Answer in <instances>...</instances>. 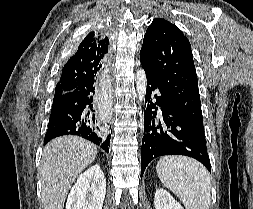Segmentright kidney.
Wrapping results in <instances>:
<instances>
[{"label":"right kidney","instance_id":"obj_1","mask_svg":"<svg viewBox=\"0 0 253 209\" xmlns=\"http://www.w3.org/2000/svg\"><path fill=\"white\" fill-rule=\"evenodd\" d=\"M106 194V179L99 165L81 174L72 187L66 209H102Z\"/></svg>","mask_w":253,"mask_h":209}]
</instances>
